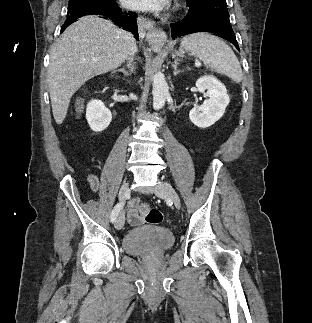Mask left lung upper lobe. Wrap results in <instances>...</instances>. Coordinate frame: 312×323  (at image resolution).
I'll return each instance as SVG.
<instances>
[{
    "instance_id": "left-lung-upper-lobe-1",
    "label": "left lung upper lobe",
    "mask_w": 312,
    "mask_h": 323,
    "mask_svg": "<svg viewBox=\"0 0 312 323\" xmlns=\"http://www.w3.org/2000/svg\"><path fill=\"white\" fill-rule=\"evenodd\" d=\"M186 1L189 4V11H188V14L186 15L188 17H194L197 14L201 13L202 12L201 9H203V6L206 4L215 3L219 1L226 3V0H186Z\"/></svg>"
}]
</instances>
